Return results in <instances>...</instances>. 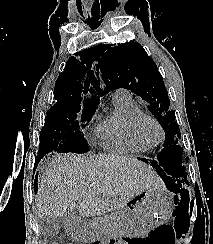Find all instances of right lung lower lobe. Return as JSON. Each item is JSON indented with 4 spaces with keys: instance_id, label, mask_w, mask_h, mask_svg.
<instances>
[{
    "instance_id": "right-lung-lower-lobe-1",
    "label": "right lung lower lobe",
    "mask_w": 213,
    "mask_h": 244,
    "mask_svg": "<svg viewBox=\"0 0 213 244\" xmlns=\"http://www.w3.org/2000/svg\"><path fill=\"white\" fill-rule=\"evenodd\" d=\"M41 157H43L42 155H38L37 157H36V165H37V163L40 161V158ZM36 167V166H35ZM35 191H36V188H35Z\"/></svg>"
}]
</instances>
